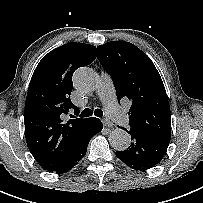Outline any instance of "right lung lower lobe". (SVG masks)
<instances>
[{"mask_svg":"<svg viewBox=\"0 0 203 203\" xmlns=\"http://www.w3.org/2000/svg\"><path fill=\"white\" fill-rule=\"evenodd\" d=\"M103 129V125L98 118L92 117L88 122L85 130L82 132L78 140L73 145L69 155L63 162V164L55 170L56 173H65L72 169L78 162L85 156L87 146L90 138L100 132Z\"/></svg>","mask_w":203,"mask_h":203,"instance_id":"98d812e1","label":"right lung lower lobe"}]
</instances>
